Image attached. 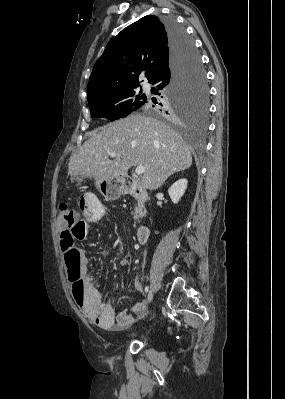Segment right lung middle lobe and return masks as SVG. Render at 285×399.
I'll use <instances>...</instances> for the list:
<instances>
[{
  "label": "right lung middle lobe",
  "instance_id": "right-lung-middle-lobe-1",
  "mask_svg": "<svg viewBox=\"0 0 285 399\" xmlns=\"http://www.w3.org/2000/svg\"><path fill=\"white\" fill-rule=\"evenodd\" d=\"M162 94L166 101L170 102V107L165 108L163 104L153 105L146 95L136 91V88L96 98L88 101V104L92 118H106L110 121L124 118L143 105L161 114L181 119L193 116L204 117L208 110V87L196 49L192 62L186 68L181 80L170 92L162 91Z\"/></svg>",
  "mask_w": 285,
  "mask_h": 399
}]
</instances>
